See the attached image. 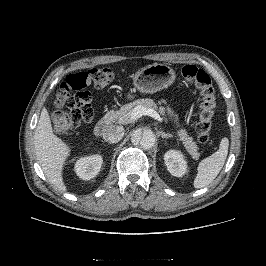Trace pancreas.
Listing matches in <instances>:
<instances>
[{"mask_svg":"<svg viewBox=\"0 0 266 266\" xmlns=\"http://www.w3.org/2000/svg\"><path fill=\"white\" fill-rule=\"evenodd\" d=\"M144 106L146 108H151L158 110L162 115H165L166 109L162 106H158L152 99H137L131 103L125 104L117 111H110L109 115L112 121H117L120 124H128L133 121L131 118V113L136 106ZM179 140L182 141L186 151L191 155L194 160H198L200 153L198 152V147L196 142L190 137L185 129H180L177 131Z\"/></svg>","mask_w":266,"mask_h":266,"instance_id":"pancreas-1","label":"pancreas"}]
</instances>
